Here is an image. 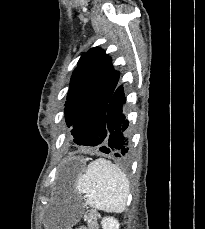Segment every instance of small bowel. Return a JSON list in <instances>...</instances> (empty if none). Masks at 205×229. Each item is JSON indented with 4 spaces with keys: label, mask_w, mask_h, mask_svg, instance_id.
I'll use <instances>...</instances> for the list:
<instances>
[{
    "label": "small bowel",
    "mask_w": 205,
    "mask_h": 229,
    "mask_svg": "<svg viewBox=\"0 0 205 229\" xmlns=\"http://www.w3.org/2000/svg\"><path fill=\"white\" fill-rule=\"evenodd\" d=\"M76 229H88L87 227H79V228H76Z\"/></svg>",
    "instance_id": "small-bowel-1"
}]
</instances>
